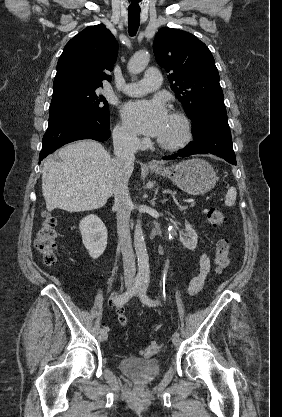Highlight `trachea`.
<instances>
[{"mask_svg": "<svg viewBox=\"0 0 282 417\" xmlns=\"http://www.w3.org/2000/svg\"><path fill=\"white\" fill-rule=\"evenodd\" d=\"M140 22V10H128V32L131 37L136 35Z\"/></svg>", "mask_w": 282, "mask_h": 417, "instance_id": "obj_1", "label": "trachea"}]
</instances>
